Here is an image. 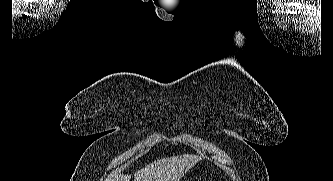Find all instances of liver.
<instances>
[{
    "label": "liver",
    "instance_id": "obj_1",
    "mask_svg": "<svg viewBox=\"0 0 333 181\" xmlns=\"http://www.w3.org/2000/svg\"><path fill=\"white\" fill-rule=\"evenodd\" d=\"M201 158L195 155H179L163 158L148 164L134 174V181H179ZM128 174H117L111 181H130Z\"/></svg>",
    "mask_w": 333,
    "mask_h": 181
}]
</instances>
